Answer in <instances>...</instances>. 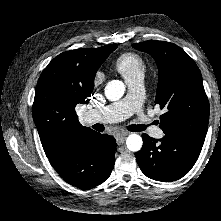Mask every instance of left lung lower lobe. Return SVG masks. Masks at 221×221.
I'll return each mask as SVG.
<instances>
[{
    "label": "left lung lower lobe",
    "instance_id": "0a47b994",
    "mask_svg": "<svg viewBox=\"0 0 221 221\" xmlns=\"http://www.w3.org/2000/svg\"><path fill=\"white\" fill-rule=\"evenodd\" d=\"M143 147L135 153L141 171L149 178L171 182L186 175L197 161L202 146L165 134L158 140L143 134Z\"/></svg>",
    "mask_w": 221,
    "mask_h": 221
}]
</instances>
